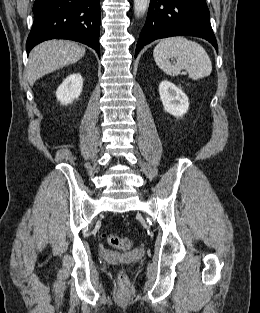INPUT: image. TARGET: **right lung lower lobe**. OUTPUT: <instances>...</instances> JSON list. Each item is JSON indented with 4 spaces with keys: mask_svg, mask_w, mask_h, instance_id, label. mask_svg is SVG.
Instances as JSON below:
<instances>
[{
    "mask_svg": "<svg viewBox=\"0 0 260 313\" xmlns=\"http://www.w3.org/2000/svg\"><path fill=\"white\" fill-rule=\"evenodd\" d=\"M33 12L27 54L37 44L53 38L84 43L100 54V0H35Z\"/></svg>",
    "mask_w": 260,
    "mask_h": 313,
    "instance_id": "1",
    "label": "right lung lower lobe"
}]
</instances>
